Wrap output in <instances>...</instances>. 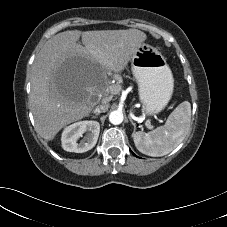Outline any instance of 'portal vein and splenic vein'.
Instances as JSON below:
<instances>
[{
	"mask_svg": "<svg viewBox=\"0 0 227 227\" xmlns=\"http://www.w3.org/2000/svg\"><path fill=\"white\" fill-rule=\"evenodd\" d=\"M147 126H148V127H151V125H150V124H148Z\"/></svg>",
	"mask_w": 227,
	"mask_h": 227,
	"instance_id": "portal-vein-and-splenic-vein-1",
	"label": "portal vein and splenic vein"
}]
</instances>
